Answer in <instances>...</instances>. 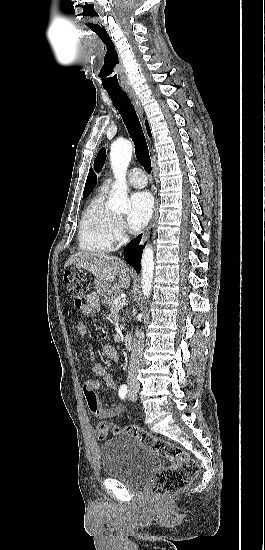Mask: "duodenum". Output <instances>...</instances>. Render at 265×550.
I'll list each match as a JSON object with an SVG mask.
<instances>
[{
	"mask_svg": "<svg viewBox=\"0 0 265 550\" xmlns=\"http://www.w3.org/2000/svg\"><path fill=\"white\" fill-rule=\"evenodd\" d=\"M124 346L127 350H131L133 348V337L130 333H126L124 335Z\"/></svg>",
	"mask_w": 265,
	"mask_h": 550,
	"instance_id": "duodenum-1",
	"label": "duodenum"
}]
</instances>
